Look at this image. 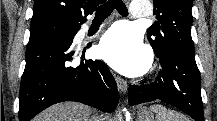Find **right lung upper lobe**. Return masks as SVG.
Segmentation results:
<instances>
[{"label": "right lung upper lobe", "mask_w": 217, "mask_h": 121, "mask_svg": "<svg viewBox=\"0 0 217 121\" xmlns=\"http://www.w3.org/2000/svg\"><path fill=\"white\" fill-rule=\"evenodd\" d=\"M103 2L105 0H35L31 22L53 19L81 25Z\"/></svg>", "instance_id": "right-lung-upper-lobe-1"}]
</instances>
